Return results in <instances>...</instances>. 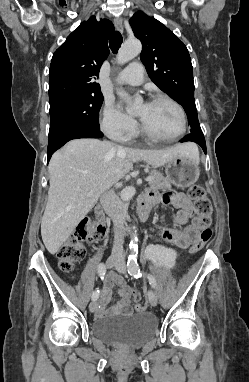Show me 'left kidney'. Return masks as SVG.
Listing matches in <instances>:
<instances>
[{
	"instance_id": "5707ae66",
	"label": "left kidney",
	"mask_w": 249,
	"mask_h": 382,
	"mask_svg": "<svg viewBox=\"0 0 249 382\" xmlns=\"http://www.w3.org/2000/svg\"><path fill=\"white\" fill-rule=\"evenodd\" d=\"M144 251L147 260L144 264L147 267H152L154 262L157 265L169 267L168 270L172 273L175 270L174 267L176 268L178 266L175 259L176 252L172 250L171 245H145Z\"/></svg>"
}]
</instances>
